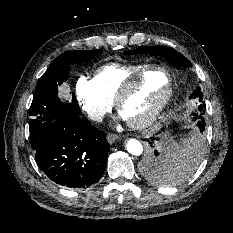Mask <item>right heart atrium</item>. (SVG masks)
<instances>
[{
    "instance_id": "1",
    "label": "right heart atrium",
    "mask_w": 233,
    "mask_h": 233,
    "mask_svg": "<svg viewBox=\"0 0 233 233\" xmlns=\"http://www.w3.org/2000/svg\"><path fill=\"white\" fill-rule=\"evenodd\" d=\"M75 98L82 112L94 122L101 121L111 106V102L100 92L94 78L83 75L76 80Z\"/></svg>"
}]
</instances>
